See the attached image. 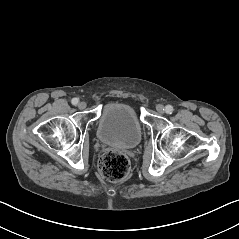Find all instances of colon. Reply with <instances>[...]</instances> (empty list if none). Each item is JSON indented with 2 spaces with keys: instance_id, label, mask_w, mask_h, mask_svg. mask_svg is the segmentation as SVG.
<instances>
[{
  "instance_id": "colon-1",
  "label": "colon",
  "mask_w": 239,
  "mask_h": 239,
  "mask_svg": "<svg viewBox=\"0 0 239 239\" xmlns=\"http://www.w3.org/2000/svg\"><path fill=\"white\" fill-rule=\"evenodd\" d=\"M99 170L105 179L112 182L121 181L130 171L129 158L120 152H107L100 159Z\"/></svg>"
}]
</instances>
